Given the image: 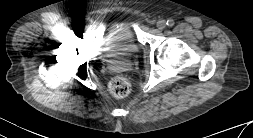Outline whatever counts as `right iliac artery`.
Returning <instances> with one entry per match:
<instances>
[{
  "label": "right iliac artery",
  "mask_w": 253,
  "mask_h": 138,
  "mask_svg": "<svg viewBox=\"0 0 253 138\" xmlns=\"http://www.w3.org/2000/svg\"><path fill=\"white\" fill-rule=\"evenodd\" d=\"M70 23H71V21H70L69 19H66V20L64 21V24H65L66 26H69Z\"/></svg>",
  "instance_id": "obj_1"
}]
</instances>
